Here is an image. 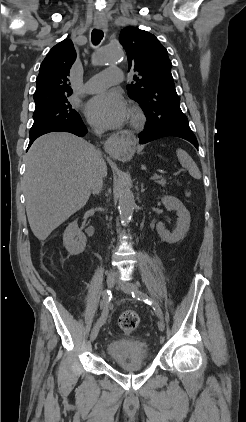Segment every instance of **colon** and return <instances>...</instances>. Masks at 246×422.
I'll use <instances>...</instances> for the list:
<instances>
[{"label":"colon","mask_w":246,"mask_h":422,"mask_svg":"<svg viewBox=\"0 0 246 422\" xmlns=\"http://www.w3.org/2000/svg\"><path fill=\"white\" fill-rule=\"evenodd\" d=\"M139 321V317L134 311L127 310L120 315L118 325L124 332L131 333L136 330Z\"/></svg>","instance_id":"5ec220e1"}]
</instances>
